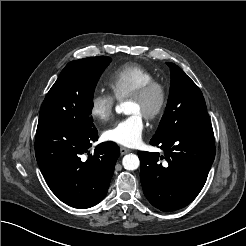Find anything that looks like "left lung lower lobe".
Listing matches in <instances>:
<instances>
[{"label":"left lung lower lobe","instance_id":"0a47b994","mask_svg":"<svg viewBox=\"0 0 246 246\" xmlns=\"http://www.w3.org/2000/svg\"><path fill=\"white\" fill-rule=\"evenodd\" d=\"M150 144L162 148L164 155L138 152L146 198L161 211L187 206L203 188L214 161L211 123L177 128L162 139H151Z\"/></svg>","mask_w":246,"mask_h":246}]
</instances>
